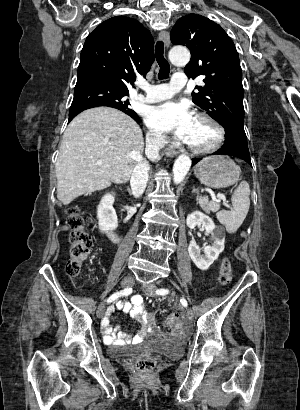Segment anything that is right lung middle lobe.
Masks as SVG:
<instances>
[{
  "instance_id": "obj_1",
  "label": "right lung middle lobe",
  "mask_w": 300,
  "mask_h": 410,
  "mask_svg": "<svg viewBox=\"0 0 300 410\" xmlns=\"http://www.w3.org/2000/svg\"><path fill=\"white\" fill-rule=\"evenodd\" d=\"M128 95V92L104 84L93 82L76 83L69 114L97 106H109L135 113L129 108V100L125 99V96Z\"/></svg>"
}]
</instances>
